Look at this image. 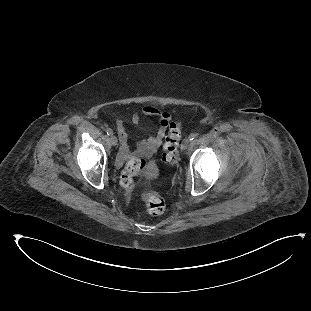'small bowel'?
I'll return each mask as SVG.
<instances>
[{
  "mask_svg": "<svg viewBox=\"0 0 311 311\" xmlns=\"http://www.w3.org/2000/svg\"><path fill=\"white\" fill-rule=\"evenodd\" d=\"M142 117H156L158 119L157 131L154 135L141 140L137 145V152L146 157H152L166 134L167 128L171 122V114L168 111H162L157 106L148 105L131 115L130 122L137 124ZM117 132L121 142L120 155L126 159L130 155V142L127 126L123 121H117Z\"/></svg>",
  "mask_w": 311,
  "mask_h": 311,
  "instance_id": "1",
  "label": "small bowel"
}]
</instances>
